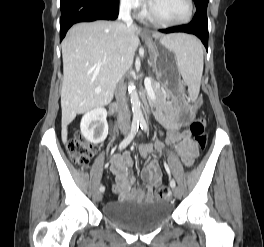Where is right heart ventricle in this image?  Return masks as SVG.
Wrapping results in <instances>:
<instances>
[{
    "label": "right heart ventricle",
    "mask_w": 264,
    "mask_h": 247,
    "mask_svg": "<svg viewBox=\"0 0 264 247\" xmlns=\"http://www.w3.org/2000/svg\"><path fill=\"white\" fill-rule=\"evenodd\" d=\"M141 17L144 18V19H147V18H148V16H147L146 13H143V14L141 15Z\"/></svg>",
    "instance_id": "1"
}]
</instances>
